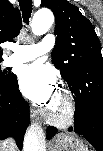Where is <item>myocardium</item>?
<instances>
[{
    "mask_svg": "<svg viewBox=\"0 0 103 151\" xmlns=\"http://www.w3.org/2000/svg\"><path fill=\"white\" fill-rule=\"evenodd\" d=\"M62 100V110L54 112L50 107L44 111L45 119L48 123L64 128L71 125L76 116V106L71 92L66 88H61L57 93Z\"/></svg>",
    "mask_w": 103,
    "mask_h": 151,
    "instance_id": "myocardium-1",
    "label": "myocardium"
}]
</instances>
